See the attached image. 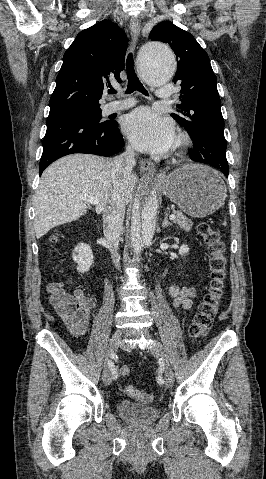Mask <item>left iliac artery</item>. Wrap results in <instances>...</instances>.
<instances>
[{"mask_svg":"<svg viewBox=\"0 0 266 479\" xmlns=\"http://www.w3.org/2000/svg\"><path fill=\"white\" fill-rule=\"evenodd\" d=\"M157 366H158V367H157V370H158V372H159V374H158V375H159V377H158V383H159L160 385H162V384L164 383V381H163L162 377L160 376V375H161L160 372H162V371L165 369L166 366H165V364H164L162 361H159V362L157 363Z\"/></svg>","mask_w":266,"mask_h":479,"instance_id":"44dca946","label":"left iliac artery"}]
</instances>
